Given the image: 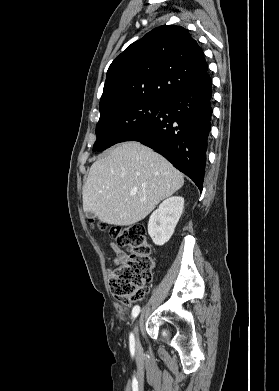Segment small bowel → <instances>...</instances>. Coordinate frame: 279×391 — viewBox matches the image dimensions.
Segmentation results:
<instances>
[{
    "label": "small bowel",
    "instance_id": "1",
    "mask_svg": "<svg viewBox=\"0 0 279 391\" xmlns=\"http://www.w3.org/2000/svg\"><path fill=\"white\" fill-rule=\"evenodd\" d=\"M111 247H112V249L116 252V254H117V257H116V259H115V263H117L123 256H124V254H125V252L122 250V249H120L116 244H114V243H111Z\"/></svg>",
    "mask_w": 279,
    "mask_h": 391
}]
</instances>
